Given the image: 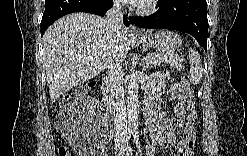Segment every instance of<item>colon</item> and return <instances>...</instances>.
Masks as SVG:
<instances>
[{
  "label": "colon",
  "instance_id": "5ec220e1",
  "mask_svg": "<svg viewBox=\"0 0 247 156\" xmlns=\"http://www.w3.org/2000/svg\"><path fill=\"white\" fill-rule=\"evenodd\" d=\"M181 86L186 94L187 110L190 115L195 114L196 109V94L192 88L190 81L187 75L181 76ZM95 86L94 81L85 83L84 85L78 87L72 94H66L62 97L58 112L55 115V118L62 123H65L67 120L68 108L72 101L80 98L81 96L88 93ZM57 153L59 156H70V151L66 145L60 143L58 146Z\"/></svg>",
  "mask_w": 247,
  "mask_h": 156
}]
</instances>
